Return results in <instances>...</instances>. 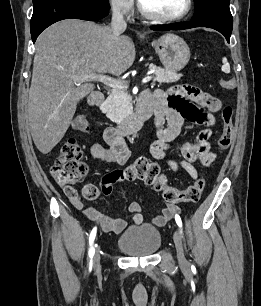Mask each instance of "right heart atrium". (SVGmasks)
Segmentation results:
<instances>
[{
    "label": "right heart atrium",
    "mask_w": 261,
    "mask_h": 306,
    "mask_svg": "<svg viewBox=\"0 0 261 306\" xmlns=\"http://www.w3.org/2000/svg\"><path fill=\"white\" fill-rule=\"evenodd\" d=\"M112 11L124 17H129L134 12V0H109Z\"/></svg>",
    "instance_id": "obj_1"
}]
</instances>
